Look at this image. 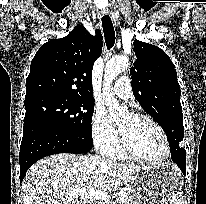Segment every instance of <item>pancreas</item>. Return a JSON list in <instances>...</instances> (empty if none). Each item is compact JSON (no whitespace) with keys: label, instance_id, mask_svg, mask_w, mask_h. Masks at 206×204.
<instances>
[{"label":"pancreas","instance_id":"obj_1","mask_svg":"<svg viewBox=\"0 0 206 204\" xmlns=\"http://www.w3.org/2000/svg\"><path fill=\"white\" fill-rule=\"evenodd\" d=\"M124 198L120 201V204H132L133 196L129 189H126L121 192Z\"/></svg>","mask_w":206,"mask_h":204}]
</instances>
